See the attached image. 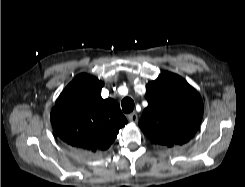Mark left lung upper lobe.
Segmentation results:
<instances>
[{"label":"left lung upper lobe","instance_id":"1","mask_svg":"<svg viewBox=\"0 0 245 187\" xmlns=\"http://www.w3.org/2000/svg\"><path fill=\"white\" fill-rule=\"evenodd\" d=\"M146 98L148 107L139 126L152 143L173 147L194 136L203 117V102L183 78L162 72L147 84Z\"/></svg>","mask_w":245,"mask_h":187}]
</instances>
